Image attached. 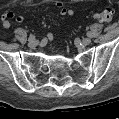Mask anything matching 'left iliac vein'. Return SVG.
<instances>
[{"instance_id": "left-iliac-vein-1", "label": "left iliac vein", "mask_w": 119, "mask_h": 119, "mask_svg": "<svg viewBox=\"0 0 119 119\" xmlns=\"http://www.w3.org/2000/svg\"><path fill=\"white\" fill-rule=\"evenodd\" d=\"M90 43H91V39L90 38H84L82 40V44H84V45H89Z\"/></svg>"}]
</instances>
